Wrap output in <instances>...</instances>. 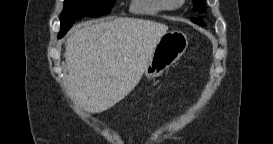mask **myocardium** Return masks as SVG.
<instances>
[{
	"mask_svg": "<svg viewBox=\"0 0 273 144\" xmlns=\"http://www.w3.org/2000/svg\"><path fill=\"white\" fill-rule=\"evenodd\" d=\"M161 1V6L164 9H172V4L171 2H182V0H160Z\"/></svg>",
	"mask_w": 273,
	"mask_h": 144,
	"instance_id": "myocardium-1",
	"label": "myocardium"
}]
</instances>
